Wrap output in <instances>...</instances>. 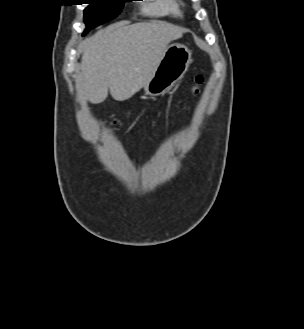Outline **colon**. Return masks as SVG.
Listing matches in <instances>:
<instances>
[{
    "label": "colon",
    "mask_w": 304,
    "mask_h": 329,
    "mask_svg": "<svg viewBox=\"0 0 304 329\" xmlns=\"http://www.w3.org/2000/svg\"><path fill=\"white\" fill-rule=\"evenodd\" d=\"M203 83V76L202 75H197L194 79V82L190 88L192 93H197L199 91L200 86Z\"/></svg>",
    "instance_id": "obj_1"
}]
</instances>
